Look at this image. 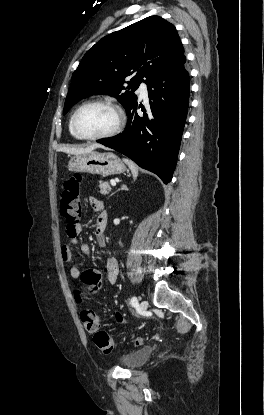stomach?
<instances>
[{"mask_svg":"<svg viewBox=\"0 0 264 415\" xmlns=\"http://www.w3.org/2000/svg\"><path fill=\"white\" fill-rule=\"evenodd\" d=\"M68 169L70 171L99 174L106 177L124 173L126 166L112 152L100 153L92 151L74 155L68 162Z\"/></svg>","mask_w":264,"mask_h":415,"instance_id":"obj_1","label":"stomach"}]
</instances>
